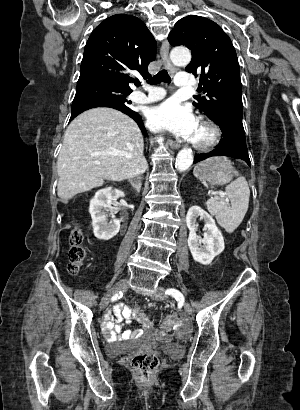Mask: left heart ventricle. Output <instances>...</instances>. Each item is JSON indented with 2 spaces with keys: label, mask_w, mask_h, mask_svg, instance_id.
Listing matches in <instances>:
<instances>
[{
  "label": "left heart ventricle",
  "mask_w": 300,
  "mask_h": 410,
  "mask_svg": "<svg viewBox=\"0 0 300 410\" xmlns=\"http://www.w3.org/2000/svg\"><path fill=\"white\" fill-rule=\"evenodd\" d=\"M210 136L209 130L206 128L202 127L200 124L198 125L197 131L195 133L193 141L196 142H204L206 141Z\"/></svg>",
  "instance_id": "left-heart-ventricle-1"
}]
</instances>
